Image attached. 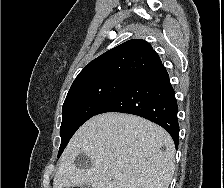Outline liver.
I'll return each instance as SVG.
<instances>
[{
	"instance_id": "obj_1",
	"label": "liver",
	"mask_w": 224,
	"mask_h": 188,
	"mask_svg": "<svg viewBox=\"0 0 224 188\" xmlns=\"http://www.w3.org/2000/svg\"><path fill=\"white\" fill-rule=\"evenodd\" d=\"M79 154L87 155L92 166L76 164ZM174 155V142L159 125L131 114H100L85 122L69 141L53 188L85 183L91 188H168Z\"/></svg>"
}]
</instances>
